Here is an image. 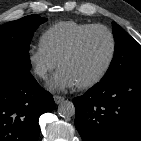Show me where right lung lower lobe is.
I'll return each instance as SVG.
<instances>
[{
    "mask_svg": "<svg viewBox=\"0 0 141 141\" xmlns=\"http://www.w3.org/2000/svg\"><path fill=\"white\" fill-rule=\"evenodd\" d=\"M54 108L29 71L0 73V141H38L39 117Z\"/></svg>",
    "mask_w": 141,
    "mask_h": 141,
    "instance_id": "right-lung-lower-lobe-1",
    "label": "right lung lower lobe"
}]
</instances>
